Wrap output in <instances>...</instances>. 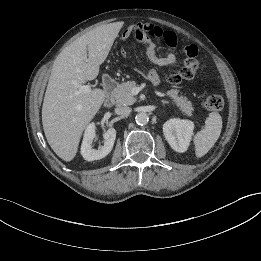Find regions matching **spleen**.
I'll return each mask as SVG.
<instances>
[{
  "label": "spleen",
  "instance_id": "3e777b00",
  "mask_svg": "<svg viewBox=\"0 0 261 261\" xmlns=\"http://www.w3.org/2000/svg\"><path fill=\"white\" fill-rule=\"evenodd\" d=\"M222 130V118L219 113L212 112L205 120L204 128L194 136L195 155L203 157L214 146Z\"/></svg>",
  "mask_w": 261,
  "mask_h": 261
}]
</instances>
